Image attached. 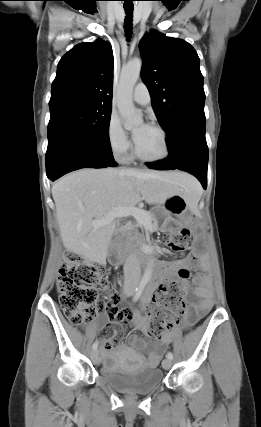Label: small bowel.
Here are the masks:
<instances>
[{
  "instance_id": "1",
  "label": "small bowel",
  "mask_w": 261,
  "mask_h": 427,
  "mask_svg": "<svg viewBox=\"0 0 261 427\" xmlns=\"http://www.w3.org/2000/svg\"><path fill=\"white\" fill-rule=\"evenodd\" d=\"M196 259L194 254H190L186 258L176 261H159L157 274L143 295L139 309H125L121 311L116 307V297L113 295V302H106L105 304V309L108 314L107 319L103 318L101 320V323L106 325V328H104L101 333L104 351L110 349L118 339L121 338L123 334L121 323L124 321L129 320L135 329L146 331L147 319L142 316V312L148 307L153 292L157 289L159 291L162 290L166 281L175 277V274L172 272L174 268H192L195 265ZM193 283L196 287L193 295L197 299V302L193 306L194 310L185 314L184 325L186 327L194 324L195 321L201 318L211 307L212 291L208 276L203 274L197 275L193 279ZM107 320L112 322V324H107ZM178 333L179 329L174 326L170 331L158 337V341H146L136 334L129 335V345L138 351L137 354L131 356L132 360L142 369L156 367L165 349ZM142 353H146V358Z\"/></svg>"
}]
</instances>
